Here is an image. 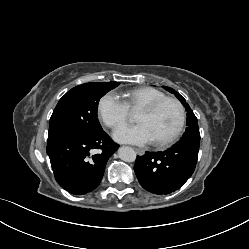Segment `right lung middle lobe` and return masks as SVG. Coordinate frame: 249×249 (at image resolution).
<instances>
[{
	"label": "right lung middle lobe",
	"instance_id": "obj_1",
	"mask_svg": "<svg viewBox=\"0 0 249 249\" xmlns=\"http://www.w3.org/2000/svg\"><path fill=\"white\" fill-rule=\"evenodd\" d=\"M118 85L119 82H92L68 91L59 100L50 118L47 145L67 137L95 135L102 131L96 117L98 102Z\"/></svg>",
	"mask_w": 249,
	"mask_h": 249
}]
</instances>
